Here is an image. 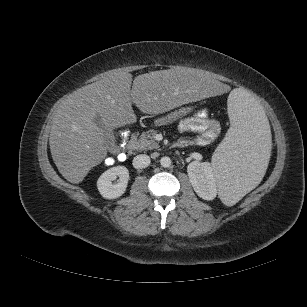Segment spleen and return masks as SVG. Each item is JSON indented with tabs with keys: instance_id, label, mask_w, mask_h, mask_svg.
I'll use <instances>...</instances> for the list:
<instances>
[{
	"instance_id": "spleen-1",
	"label": "spleen",
	"mask_w": 307,
	"mask_h": 307,
	"mask_svg": "<svg viewBox=\"0 0 307 307\" xmlns=\"http://www.w3.org/2000/svg\"><path fill=\"white\" fill-rule=\"evenodd\" d=\"M227 106L231 127L212 156V168L220 200L233 206L260 181L271 134L262 106L244 90L234 89Z\"/></svg>"
}]
</instances>
